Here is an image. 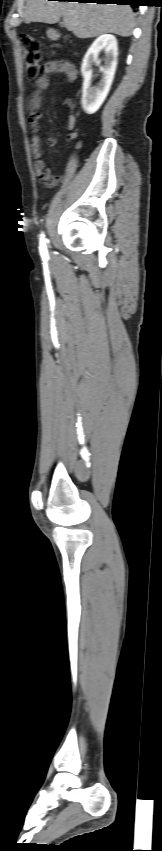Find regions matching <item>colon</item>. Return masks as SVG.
<instances>
[{
	"mask_svg": "<svg viewBox=\"0 0 162 851\" xmlns=\"http://www.w3.org/2000/svg\"><path fill=\"white\" fill-rule=\"evenodd\" d=\"M20 46L25 75L30 82H35L43 71L39 42L30 34H22ZM57 181H59V178L55 177V182Z\"/></svg>",
	"mask_w": 162,
	"mask_h": 851,
	"instance_id": "obj_1",
	"label": "colon"
}]
</instances>
